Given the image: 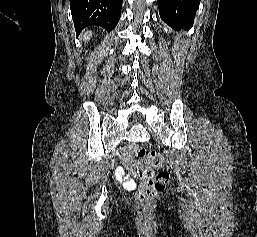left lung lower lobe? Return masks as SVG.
<instances>
[{
    "mask_svg": "<svg viewBox=\"0 0 257 237\" xmlns=\"http://www.w3.org/2000/svg\"><path fill=\"white\" fill-rule=\"evenodd\" d=\"M161 19L174 30L193 26L200 0H157Z\"/></svg>",
    "mask_w": 257,
    "mask_h": 237,
    "instance_id": "obj_1",
    "label": "left lung lower lobe"
}]
</instances>
